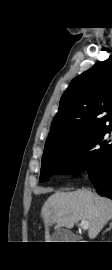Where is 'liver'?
Segmentation results:
<instances>
[{
  "mask_svg": "<svg viewBox=\"0 0 112 270\" xmlns=\"http://www.w3.org/2000/svg\"><path fill=\"white\" fill-rule=\"evenodd\" d=\"M41 218L45 222V240L50 242L49 226L73 228L79 221H88V236L94 239L104 225L112 219V200L79 189L72 192H56L43 204ZM53 220L50 222V220Z\"/></svg>",
  "mask_w": 112,
  "mask_h": 270,
  "instance_id": "obj_1",
  "label": "liver"
}]
</instances>
